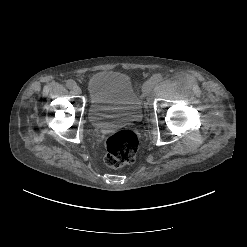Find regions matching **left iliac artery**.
Listing matches in <instances>:
<instances>
[{
	"mask_svg": "<svg viewBox=\"0 0 247 247\" xmlns=\"http://www.w3.org/2000/svg\"><path fill=\"white\" fill-rule=\"evenodd\" d=\"M162 79H163V77H162L161 74H155V75H153V76L151 77L150 82H151L152 84H156V83L162 81Z\"/></svg>",
	"mask_w": 247,
	"mask_h": 247,
	"instance_id": "obj_1",
	"label": "left iliac artery"
}]
</instances>
